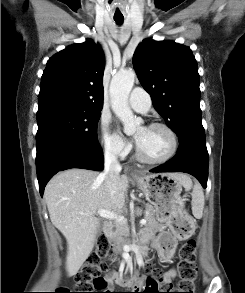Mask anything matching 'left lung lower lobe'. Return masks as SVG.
Instances as JSON below:
<instances>
[{"mask_svg":"<svg viewBox=\"0 0 245 293\" xmlns=\"http://www.w3.org/2000/svg\"><path fill=\"white\" fill-rule=\"evenodd\" d=\"M176 155L167 163L150 172H185L199 180L204 188L208 179V152L206 142L194 140L180 141Z\"/></svg>","mask_w":245,"mask_h":293,"instance_id":"left-lung-lower-lobe-1","label":"left lung lower lobe"}]
</instances>
